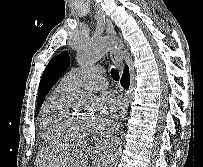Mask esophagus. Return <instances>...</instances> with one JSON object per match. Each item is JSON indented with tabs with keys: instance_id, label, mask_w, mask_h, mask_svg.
I'll return each instance as SVG.
<instances>
[{
	"instance_id": "34e87169",
	"label": "esophagus",
	"mask_w": 203,
	"mask_h": 167,
	"mask_svg": "<svg viewBox=\"0 0 203 167\" xmlns=\"http://www.w3.org/2000/svg\"><path fill=\"white\" fill-rule=\"evenodd\" d=\"M106 34L108 36L115 38L114 28H113L112 23L109 20H107V23H106ZM110 57H111L112 61L115 63V65L122 72L123 71V59H122V55L120 53V49L117 47H112L110 49ZM128 106H129V94L126 91H124L122 112H121L117 122L113 125V127L105 135L101 136L100 139L96 142V144L93 148V151L95 153L102 152L103 149L105 148V145L108 142V140L118 131L121 123L123 122V120L126 116Z\"/></svg>"
}]
</instances>
